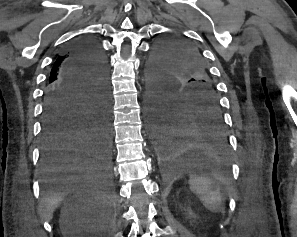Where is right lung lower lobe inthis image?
I'll return each mask as SVG.
<instances>
[{
    "mask_svg": "<svg viewBox=\"0 0 297 237\" xmlns=\"http://www.w3.org/2000/svg\"><path fill=\"white\" fill-rule=\"evenodd\" d=\"M64 81L44 93L41 169L48 176L108 173L111 120L108 69L96 40L81 37L69 47Z\"/></svg>",
    "mask_w": 297,
    "mask_h": 237,
    "instance_id": "right-lung-lower-lobe-1",
    "label": "right lung lower lobe"
}]
</instances>
